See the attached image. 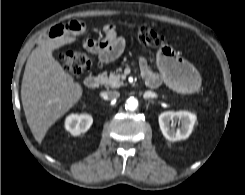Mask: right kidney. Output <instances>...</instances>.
I'll list each match as a JSON object with an SVG mask.
<instances>
[{
	"mask_svg": "<svg viewBox=\"0 0 245 195\" xmlns=\"http://www.w3.org/2000/svg\"><path fill=\"white\" fill-rule=\"evenodd\" d=\"M93 119L88 114H71L65 120V128L72 135L85 133L92 125Z\"/></svg>",
	"mask_w": 245,
	"mask_h": 195,
	"instance_id": "ca27d5eb",
	"label": "right kidney"
}]
</instances>
